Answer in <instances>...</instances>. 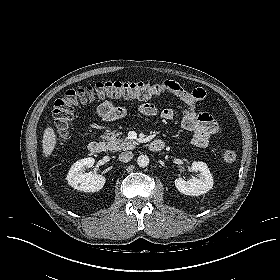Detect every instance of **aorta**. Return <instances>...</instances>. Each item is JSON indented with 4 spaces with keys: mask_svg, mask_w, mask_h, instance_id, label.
Instances as JSON below:
<instances>
[{
    "mask_svg": "<svg viewBox=\"0 0 280 280\" xmlns=\"http://www.w3.org/2000/svg\"><path fill=\"white\" fill-rule=\"evenodd\" d=\"M137 164L139 167H147L149 165V157L147 155H140L137 158Z\"/></svg>",
    "mask_w": 280,
    "mask_h": 280,
    "instance_id": "762f6f07",
    "label": "aorta"
}]
</instances>
